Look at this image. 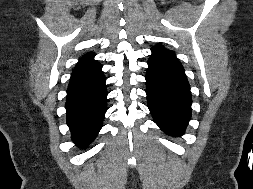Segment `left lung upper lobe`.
Instances as JSON below:
<instances>
[{"label":"left lung upper lobe","instance_id":"1","mask_svg":"<svg viewBox=\"0 0 253 189\" xmlns=\"http://www.w3.org/2000/svg\"><path fill=\"white\" fill-rule=\"evenodd\" d=\"M151 51H152V55L149 58V61L163 60V61H168L177 66L182 67L181 63L176 58L174 52L166 50L162 45L153 46L151 48Z\"/></svg>","mask_w":253,"mask_h":189}]
</instances>
